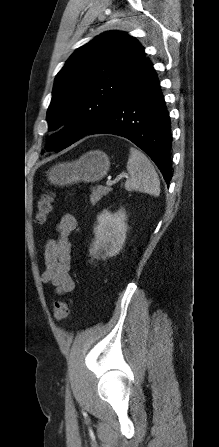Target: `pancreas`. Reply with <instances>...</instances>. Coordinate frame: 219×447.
I'll use <instances>...</instances> for the list:
<instances>
[{"mask_svg": "<svg viewBox=\"0 0 219 447\" xmlns=\"http://www.w3.org/2000/svg\"><path fill=\"white\" fill-rule=\"evenodd\" d=\"M111 191V188L98 186L96 189L92 190V194L90 195V201L93 205H95L103 196L107 195Z\"/></svg>", "mask_w": 219, "mask_h": 447, "instance_id": "1", "label": "pancreas"}]
</instances>
